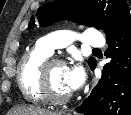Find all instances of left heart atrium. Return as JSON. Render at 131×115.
I'll return each instance as SVG.
<instances>
[{"instance_id":"1","label":"left heart atrium","mask_w":131,"mask_h":115,"mask_svg":"<svg viewBox=\"0 0 131 115\" xmlns=\"http://www.w3.org/2000/svg\"><path fill=\"white\" fill-rule=\"evenodd\" d=\"M83 80L82 69L78 66L68 68L65 74V82L70 91L75 90L80 86Z\"/></svg>"}]
</instances>
